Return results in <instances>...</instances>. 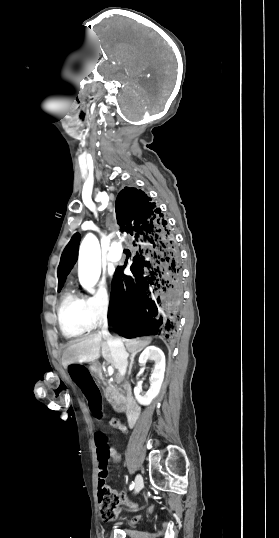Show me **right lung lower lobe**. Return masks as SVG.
Listing matches in <instances>:
<instances>
[{
	"instance_id": "98d812e1",
	"label": "right lung lower lobe",
	"mask_w": 279,
	"mask_h": 538,
	"mask_svg": "<svg viewBox=\"0 0 279 538\" xmlns=\"http://www.w3.org/2000/svg\"><path fill=\"white\" fill-rule=\"evenodd\" d=\"M117 223L136 247L131 274L117 268L108 323L122 335L174 331L183 309L180 251L164 215L141 190L125 187L116 200Z\"/></svg>"
}]
</instances>
